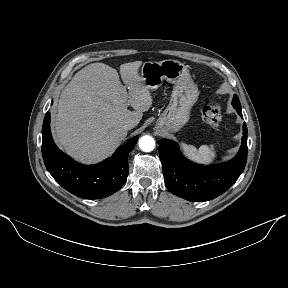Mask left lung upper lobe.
<instances>
[{"instance_id":"left-lung-upper-lobe-1","label":"left lung upper lobe","mask_w":288,"mask_h":288,"mask_svg":"<svg viewBox=\"0 0 288 288\" xmlns=\"http://www.w3.org/2000/svg\"><path fill=\"white\" fill-rule=\"evenodd\" d=\"M232 105H233V107L241 108V104H240V101H239V98L237 97V95L233 96Z\"/></svg>"}]
</instances>
